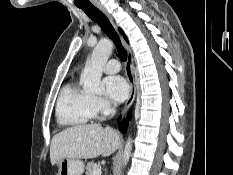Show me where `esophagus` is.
I'll return each mask as SVG.
<instances>
[{"label":"esophagus","instance_id":"1","mask_svg":"<svg viewBox=\"0 0 233 175\" xmlns=\"http://www.w3.org/2000/svg\"><path fill=\"white\" fill-rule=\"evenodd\" d=\"M94 4L97 6V8L99 10H101L111 21V23L114 25V27L116 28V25L113 21L112 16L109 14V12L106 10V8L100 4L99 2L95 1ZM122 42L123 45L126 48L127 51V61H126V66H125V72H126V77L130 86V94L129 97L123 107L122 110V114H126V112L128 111V109L130 108V106L132 105V103L134 102L135 96H136V86H135V81H134V75H133V66H132V62H133V57H132V52L130 47L127 45V43L125 42V40L122 38Z\"/></svg>","mask_w":233,"mask_h":175}]
</instances>
